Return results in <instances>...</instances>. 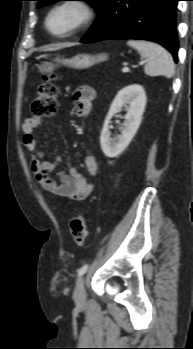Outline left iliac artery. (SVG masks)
Masks as SVG:
<instances>
[{
	"label": "left iliac artery",
	"mask_w": 193,
	"mask_h": 349,
	"mask_svg": "<svg viewBox=\"0 0 193 349\" xmlns=\"http://www.w3.org/2000/svg\"><path fill=\"white\" fill-rule=\"evenodd\" d=\"M89 265L85 264L84 266H82L79 270H78V276H82L83 274L86 273V271L88 270Z\"/></svg>",
	"instance_id": "obj_1"
}]
</instances>
